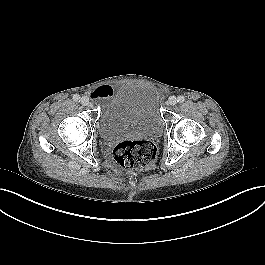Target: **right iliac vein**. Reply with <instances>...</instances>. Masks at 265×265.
Instances as JSON below:
<instances>
[{"instance_id": "right-iliac-vein-1", "label": "right iliac vein", "mask_w": 265, "mask_h": 265, "mask_svg": "<svg viewBox=\"0 0 265 265\" xmlns=\"http://www.w3.org/2000/svg\"><path fill=\"white\" fill-rule=\"evenodd\" d=\"M80 101H81V104L84 105V106H87V105L90 104L89 99L87 97H85V96L82 97Z\"/></svg>"}]
</instances>
